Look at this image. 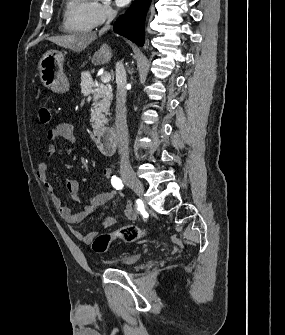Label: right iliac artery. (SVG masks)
Masks as SVG:
<instances>
[{
	"label": "right iliac artery",
	"instance_id": "82829eb1",
	"mask_svg": "<svg viewBox=\"0 0 285 335\" xmlns=\"http://www.w3.org/2000/svg\"><path fill=\"white\" fill-rule=\"evenodd\" d=\"M111 184L117 190H121L123 188V183H122L121 179L116 177V176H112Z\"/></svg>",
	"mask_w": 285,
	"mask_h": 335
}]
</instances>
